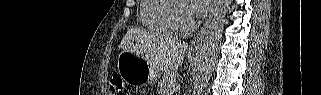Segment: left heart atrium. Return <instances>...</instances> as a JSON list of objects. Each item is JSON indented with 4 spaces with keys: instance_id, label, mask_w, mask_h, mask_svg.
I'll return each mask as SVG.
<instances>
[{
    "instance_id": "1",
    "label": "left heart atrium",
    "mask_w": 321,
    "mask_h": 95,
    "mask_svg": "<svg viewBox=\"0 0 321 95\" xmlns=\"http://www.w3.org/2000/svg\"><path fill=\"white\" fill-rule=\"evenodd\" d=\"M190 2L191 6L186 9L192 17L200 16L201 14L206 12L209 9L211 3H213L212 0H190Z\"/></svg>"
}]
</instances>
